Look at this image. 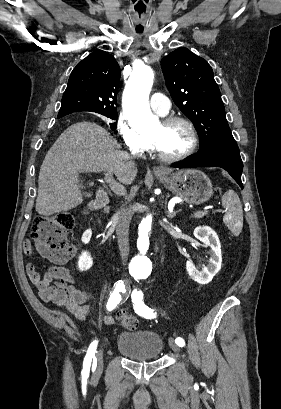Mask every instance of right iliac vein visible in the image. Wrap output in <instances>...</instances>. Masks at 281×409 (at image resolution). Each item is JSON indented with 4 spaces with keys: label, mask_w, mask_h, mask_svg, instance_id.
Masks as SVG:
<instances>
[{
    "label": "right iliac vein",
    "mask_w": 281,
    "mask_h": 409,
    "mask_svg": "<svg viewBox=\"0 0 281 409\" xmlns=\"http://www.w3.org/2000/svg\"><path fill=\"white\" fill-rule=\"evenodd\" d=\"M103 367V350H100L96 357V373H99Z\"/></svg>",
    "instance_id": "1"
}]
</instances>
